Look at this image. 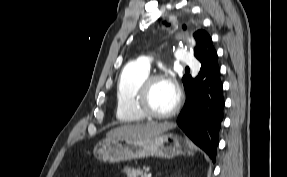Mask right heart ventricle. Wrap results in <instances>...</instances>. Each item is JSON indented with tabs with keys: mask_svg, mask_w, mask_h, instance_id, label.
I'll use <instances>...</instances> for the list:
<instances>
[{
	"mask_svg": "<svg viewBox=\"0 0 287 177\" xmlns=\"http://www.w3.org/2000/svg\"><path fill=\"white\" fill-rule=\"evenodd\" d=\"M149 74L148 69L137 63L128 64L121 71L115 91V114L121 123H137L145 118L137 110L135 98Z\"/></svg>",
	"mask_w": 287,
	"mask_h": 177,
	"instance_id": "e07e8e85",
	"label": "right heart ventricle"
}]
</instances>
